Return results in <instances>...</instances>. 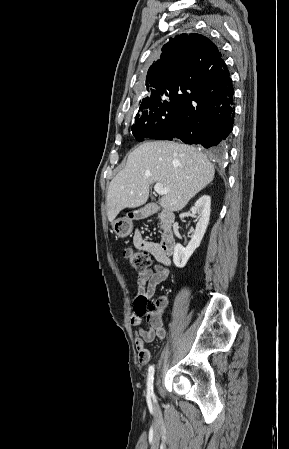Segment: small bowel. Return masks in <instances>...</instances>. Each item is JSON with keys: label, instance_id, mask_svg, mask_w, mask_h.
I'll list each match as a JSON object with an SVG mask.
<instances>
[{"label": "small bowel", "instance_id": "c3829d8e", "mask_svg": "<svg viewBox=\"0 0 289 449\" xmlns=\"http://www.w3.org/2000/svg\"><path fill=\"white\" fill-rule=\"evenodd\" d=\"M133 243L136 248L150 253L158 262V265H155L145 272L139 273L137 277L138 288L134 300V310L131 315V323L134 326H141L143 324V319L141 314L136 309V300L141 296L149 299L152 298L157 286L164 282L169 276L167 267L170 265V259L161 251L159 243L146 240L139 231L135 232L133 236ZM165 305L166 300L161 299L160 309L164 308ZM147 321L149 327H140L136 331L135 343L139 360L142 364H146L150 360V351L147 344L153 342L157 337H163L165 334L162 327L160 312L148 316Z\"/></svg>", "mask_w": 289, "mask_h": 449}]
</instances>
